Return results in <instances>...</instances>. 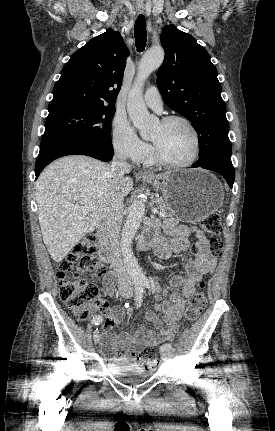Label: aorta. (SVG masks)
I'll use <instances>...</instances> for the list:
<instances>
[{"mask_svg":"<svg viewBox=\"0 0 275 431\" xmlns=\"http://www.w3.org/2000/svg\"><path fill=\"white\" fill-rule=\"evenodd\" d=\"M163 60L164 51L162 48L157 47L148 50L141 58L135 83L128 95V115L143 137L147 136L149 131L155 126L156 118L151 116L147 110L142 97V88L145 80L162 64ZM144 214V199L138 198L134 200L130 206V211L121 234V253L124 265L135 284L145 281V276L132 250V240L141 225Z\"/></svg>","mask_w":275,"mask_h":431,"instance_id":"762f6f07","label":"aorta"}]
</instances>
